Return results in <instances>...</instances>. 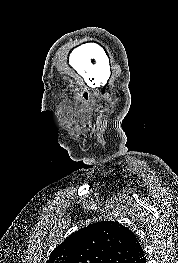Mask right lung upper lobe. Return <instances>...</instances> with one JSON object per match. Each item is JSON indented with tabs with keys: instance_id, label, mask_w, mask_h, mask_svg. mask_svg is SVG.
Masks as SVG:
<instances>
[{
	"instance_id": "obj_1",
	"label": "right lung upper lobe",
	"mask_w": 178,
	"mask_h": 263,
	"mask_svg": "<svg viewBox=\"0 0 178 263\" xmlns=\"http://www.w3.org/2000/svg\"><path fill=\"white\" fill-rule=\"evenodd\" d=\"M46 263H146L137 236L128 227L101 221L66 238Z\"/></svg>"
}]
</instances>
